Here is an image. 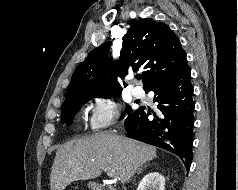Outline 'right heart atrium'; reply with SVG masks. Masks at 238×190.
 I'll return each instance as SVG.
<instances>
[{
	"instance_id": "d8ad5b80",
	"label": "right heart atrium",
	"mask_w": 238,
	"mask_h": 190,
	"mask_svg": "<svg viewBox=\"0 0 238 190\" xmlns=\"http://www.w3.org/2000/svg\"><path fill=\"white\" fill-rule=\"evenodd\" d=\"M120 106L109 96L97 95L90 104L89 124L93 130H102L119 120Z\"/></svg>"
}]
</instances>
